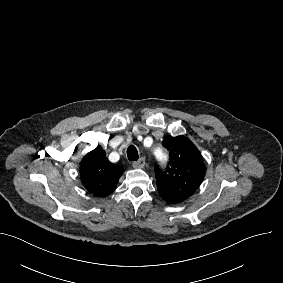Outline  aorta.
Listing matches in <instances>:
<instances>
[{
	"label": "aorta",
	"mask_w": 283,
	"mask_h": 283,
	"mask_svg": "<svg viewBox=\"0 0 283 283\" xmlns=\"http://www.w3.org/2000/svg\"><path fill=\"white\" fill-rule=\"evenodd\" d=\"M154 154L157 157V159H159V160H162L166 157L165 153L160 148L156 149Z\"/></svg>",
	"instance_id": "aorta-1"
}]
</instances>
